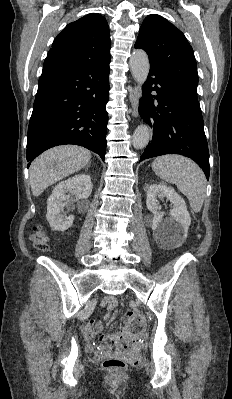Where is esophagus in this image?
Instances as JSON below:
<instances>
[{
	"instance_id": "esophagus-1",
	"label": "esophagus",
	"mask_w": 232,
	"mask_h": 399,
	"mask_svg": "<svg viewBox=\"0 0 232 399\" xmlns=\"http://www.w3.org/2000/svg\"><path fill=\"white\" fill-rule=\"evenodd\" d=\"M141 90L139 85H136L133 90L130 92L129 99L132 105V115L134 117L138 116V92Z\"/></svg>"
}]
</instances>
